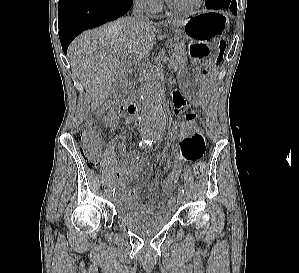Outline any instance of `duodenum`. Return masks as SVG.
<instances>
[{"mask_svg": "<svg viewBox=\"0 0 299 273\" xmlns=\"http://www.w3.org/2000/svg\"><path fill=\"white\" fill-rule=\"evenodd\" d=\"M120 109L133 121L137 119L139 113L138 102L130 95L123 96L119 101ZM165 109L168 111L169 106L165 104Z\"/></svg>", "mask_w": 299, "mask_h": 273, "instance_id": "410a0bca", "label": "duodenum"}]
</instances>
